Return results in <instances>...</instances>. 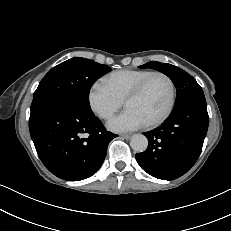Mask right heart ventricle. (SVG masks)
<instances>
[{
	"instance_id": "1",
	"label": "right heart ventricle",
	"mask_w": 231,
	"mask_h": 231,
	"mask_svg": "<svg viewBox=\"0 0 231 231\" xmlns=\"http://www.w3.org/2000/svg\"><path fill=\"white\" fill-rule=\"evenodd\" d=\"M152 73L151 70H119L107 75L103 82L120 100L124 101L129 93Z\"/></svg>"
}]
</instances>
